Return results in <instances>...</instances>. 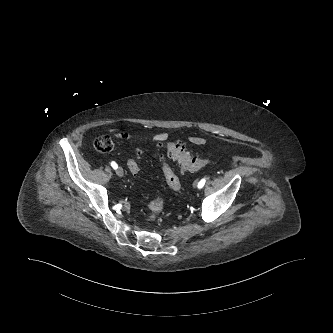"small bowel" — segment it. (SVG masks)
<instances>
[{
    "instance_id": "small-bowel-1",
    "label": "small bowel",
    "mask_w": 333,
    "mask_h": 333,
    "mask_svg": "<svg viewBox=\"0 0 333 333\" xmlns=\"http://www.w3.org/2000/svg\"><path fill=\"white\" fill-rule=\"evenodd\" d=\"M111 133L117 139H128L132 137L131 132L117 128L111 129ZM167 140L168 134L166 132H158L151 137V141L156 144L165 143ZM188 141L193 145H203L207 142V139L204 136L193 134L188 137ZM140 153V150H137L136 154L132 157L139 159Z\"/></svg>"
}]
</instances>
